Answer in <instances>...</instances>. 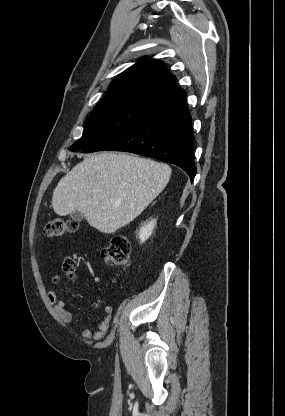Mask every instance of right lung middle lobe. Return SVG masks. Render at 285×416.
<instances>
[{
	"label": "right lung middle lobe",
	"mask_w": 285,
	"mask_h": 416,
	"mask_svg": "<svg viewBox=\"0 0 285 416\" xmlns=\"http://www.w3.org/2000/svg\"><path fill=\"white\" fill-rule=\"evenodd\" d=\"M160 109V105L133 95L102 100L88 119L82 137L69 150L89 148Z\"/></svg>",
	"instance_id": "dd1d6c3e"
}]
</instances>
